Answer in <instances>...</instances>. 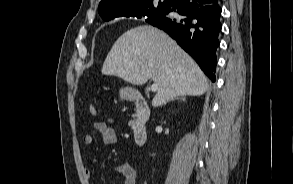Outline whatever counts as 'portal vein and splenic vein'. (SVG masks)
<instances>
[{
	"label": "portal vein and splenic vein",
	"instance_id": "18ae733b",
	"mask_svg": "<svg viewBox=\"0 0 293 184\" xmlns=\"http://www.w3.org/2000/svg\"><path fill=\"white\" fill-rule=\"evenodd\" d=\"M158 90V84L154 83L151 85L150 91L151 92H156Z\"/></svg>",
	"mask_w": 293,
	"mask_h": 184
}]
</instances>
